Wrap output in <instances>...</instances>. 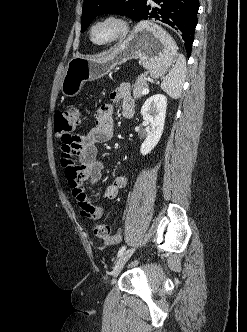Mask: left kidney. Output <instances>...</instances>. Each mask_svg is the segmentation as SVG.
<instances>
[{
  "instance_id": "left-kidney-1",
  "label": "left kidney",
  "mask_w": 247,
  "mask_h": 332,
  "mask_svg": "<svg viewBox=\"0 0 247 332\" xmlns=\"http://www.w3.org/2000/svg\"><path fill=\"white\" fill-rule=\"evenodd\" d=\"M167 98L162 94L149 97L141 108L144 121L150 125L145 141L141 144L140 153L147 155L158 144L164 129Z\"/></svg>"
}]
</instances>
